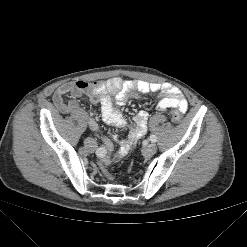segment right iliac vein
<instances>
[{
    "label": "right iliac vein",
    "mask_w": 247,
    "mask_h": 247,
    "mask_svg": "<svg viewBox=\"0 0 247 247\" xmlns=\"http://www.w3.org/2000/svg\"><path fill=\"white\" fill-rule=\"evenodd\" d=\"M84 146L88 150H94L96 148V142L92 138H87L84 141Z\"/></svg>",
    "instance_id": "obj_1"
}]
</instances>
